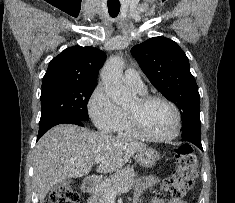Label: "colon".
I'll list each match as a JSON object with an SVG mask.
<instances>
[{
	"instance_id": "1",
	"label": "colon",
	"mask_w": 235,
	"mask_h": 203,
	"mask_svg": "<svg viewBox=\"0 0 235 203\" xmlns=\"http://www.w3.org/2000/svg\"><path fill=\"white\" fill-rule=\"evenodd\" d=\"M176 168L163 188L172 198L181 199L198 175V158L192 147L181 145L175 150ZM44 203H79V194L70 182L55 189Z\"/></svg>"
}]
</instances>
